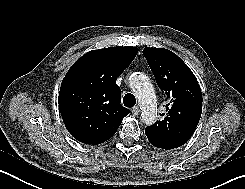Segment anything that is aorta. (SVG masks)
Listing matches in <instances>:
<instances>
[{
	"instance_id": "1",
	"label": "aorta",
	"mask_w": 245,
	"mask_h": 189,
	"mask_svg": "<svg viewBox=\"0 0 245 189\" xmlns=\"http://www.w3.org/2000/svg\"><path fill=\"white\" fill-rule=\"evenodd\" d=\"M130 87L141 106V120L151 125L157 117L156 95L148 76L141 72L133 73L129 78Z\"/></svg>"
}]
</instances>
